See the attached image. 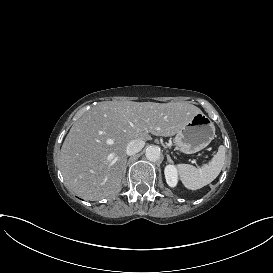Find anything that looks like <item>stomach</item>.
<instances>
[{
    "label": "stomach",
    "instance_id": "0dacf381",
    "mask_svg": "<svg viewBox=\"0 0 273 273\" xmlns=\"http://www.w3.org/2000/svg\"><path fill=\"white\" fill-rule=\"evenodd\" d=\"M214 137V124L205 114L198 113L176 133L174 144L179 151L191 154L207 147Z\"/></svg>",
    "mask_w": 273,
    "mask_h": 273
}]
</instances>
